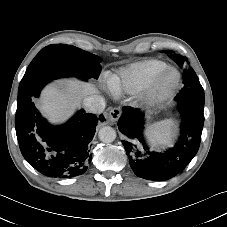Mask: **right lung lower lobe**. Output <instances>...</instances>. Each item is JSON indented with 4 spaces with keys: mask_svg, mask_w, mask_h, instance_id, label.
<instances>
[{
    "mask_svg": "<svg viewBox=\"0 0 227 227\" xmlns=\"http://www.w3.org/2000/svg\"><path fill=\"white\" fill-rule=\"evenodd\" d=\"M41 81L18 93L15 117L19 147L26 161L49 177L69 178L83 174L91 161V140L98 121L79 111L67 124L52 127L41 117L32 100L49 82Z\"/></svg>",
    "mask_w": 227,
    "mask_h": 227,
    "instance_id": "obj_1",
    "label": "right lung lower lobe"
}]
</instances>
